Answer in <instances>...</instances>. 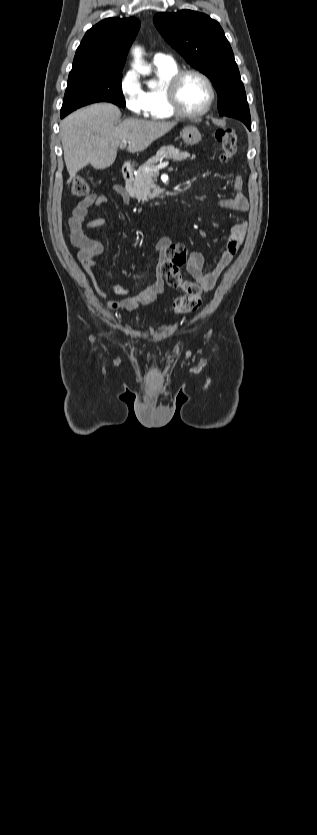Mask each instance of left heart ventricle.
I'll return each instance as SVG.
<instances>
[{
	"instance_id": "b2bd125f",
	"label": "left heart ventricle",
	"mask_w": 317,
	"mask_h": 835,
	"mask_svg": "<svg viewBox=\"0 0 317 835\" xmlns=\"http://www.w3.org/2000/svg\"><path fill=\"white\" fill-rule=\"evenodd\" d=\"M208 99V88L200 77L189 75L184 78L179 90V100L185 111L199 112L205 107Z\"/></svg>"
}]
</instances>
